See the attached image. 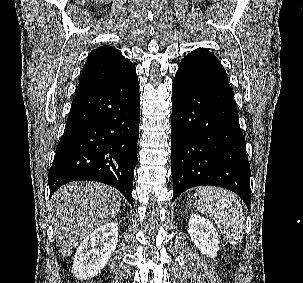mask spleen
<instances>
[{
	"label": "spleen",
	"instance_id": "1",
	"mask_svg": "<svg viewBox=\"0 0 303 283\" xmlns=\"http://www.w3.org/2000/svg\"><path fill=\"white\" fill-rule=\"evenodd\" d=\"M194 198L199 212L216 222L227 242L233 245L241 242L245 215L240 201L232 192L217 187H199Z\"/></svg>",
	"mask_w": 303,
	"mask_h": 283
}]
</instances>
